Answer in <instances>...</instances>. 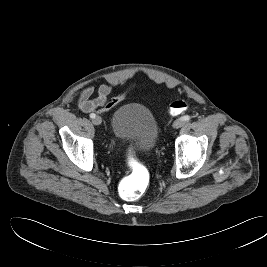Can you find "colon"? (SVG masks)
Masks as SVG:
<instances>
[{
  "mask_svg": "<svg viewBox=\"0 0 267 267\" xmlns=\"http://www.w3.org/2000/svg\"><path fill=\"white\" fill-rule=\"evenodd\" d=\"M188 107V103L183 100L174 101L169 108L172 115L182 113ZM130 173L120 184V194L126 200L138 199L146 190L149 182V173L147 169L135 158L130 157L128 160Z\"/></svg>",
  "mask_w": 267,
  "mask_h": 267,
  "instance_id": "colon-1",
  "label": "colon"
}]
</instances>
